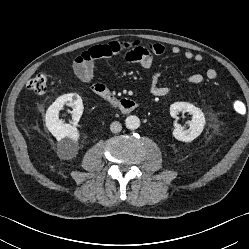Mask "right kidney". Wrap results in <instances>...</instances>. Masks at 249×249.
Wrapping results in <instances>:
<instances>
[{
  "mask_svg": "<svg viewBox=\"0 0 249 249\" xmlns=\"http://www.w3.org/2000/svg\"><path fill=\"white\" fill-rule=\"evenodd\" d=\"M67 104L73 106L72 119L74 125L64 124L58 117L60 110ZM83 102L76 93H69L59 96L47 109L45 122L47 129L59 141L58 150L65 159H72L78 151L79 132L75 124L83 113Z\"/></svg>",
  "mask_w": 249,
  "mask_h": 249,
  "instance_id": "obj_1",
  "label": "right kidney"
}]
</instances>
